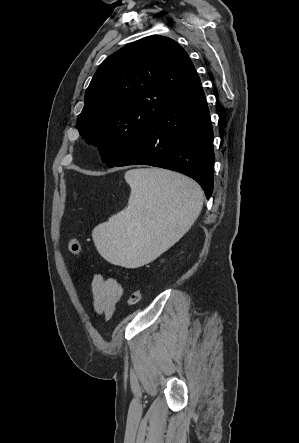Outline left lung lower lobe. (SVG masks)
Returning <instances> with one entry per match:
<instances>
[{"mask_svg":"<svg viewBox=\"0 0 299 443\" xmlns=\"http://www.w3.org/2000/svg\"><path fill=\"white\" fill-rule=\"evenodd\" d=\"M151 165L197 181L213 191V130L200 78L195 74L136 144L114 166Z\"/></svg>","mask_w":299,"mask_h":443,"instance_id":"left-lung-lower-lobe-1","label":"left lung lower lobe"}]
</instances>
